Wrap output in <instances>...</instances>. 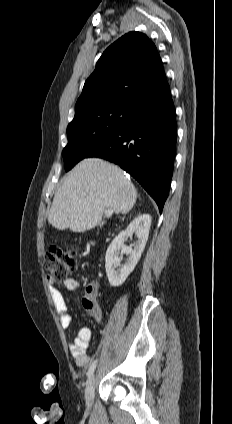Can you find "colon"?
I'll return each mask as SVG.
<instances>
[{
  "mask_svg": "<svg viewBox=\"0 0 232 424\" xmlns=\"http://www.w3.org/2000/svg\"><path fill=\"white\" fill-rule=\"evenodd\" d=\"M77 263V252L74 249L64 250L60 247H51L45 254L43 265L47 272V281L50 284L64 282L74 271ZM87 311L94 313L91 302L87 304Z\"/></svg>",
  "mask_w": 232,
  "mask_h": 424,
  "instance_id": "colon-1",
  "label": "colon"
}]
</instances>
